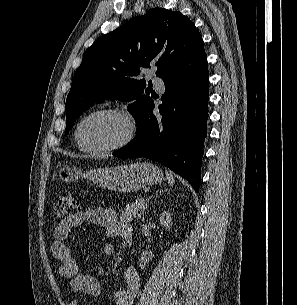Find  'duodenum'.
<instances>
[{
  "instance_id": "1",
  "label": "duodenum",
  "mask_w": 297,
  "mask_h": 305,
  "mask_svg": "<svg viewBox=\"0 0 297 305\" xmlns=\"http://www.w3.org/2000/svg\"><path fill=\"white\" fill-rule=\"evenodd\" d=\"M122 236L125 241L130 242L133 236V229L128 228L124 230Z\"/></svg>"
}]
</instances>
